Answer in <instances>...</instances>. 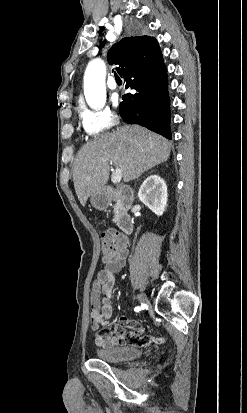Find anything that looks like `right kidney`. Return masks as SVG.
I'll list each match as a JSON object with an SVG mask.
<instances>
[{"label": "right kidney", "mask_w": 247, "mask_h": 413, "mask_svg": "<svg viewBox=\"0 0 247 413\" xmlns=\"http://www.w3.org/2000/svg\"><path fill=\"white\" fill-rule=\"evenodd\" d=\"M138 196L155 215H163L167 204V184L159 174H151L142 182Z\"/></svg>", "instance_id": "ca27d5eb"}]
</instances>
